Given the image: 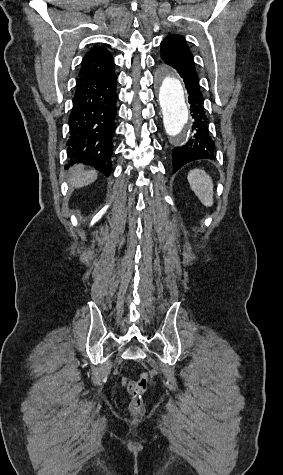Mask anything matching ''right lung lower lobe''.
I'll list each match as a JSON object with an SVG mask.
<instances>
[{
	"label": "right lung lower lobe",
	"instance_id": "obj_1",
	"mask_svg": "<svg viewBox=\"0 0 283 475\" xmlns=\"http://www.w3.org/2000/svg\"><path fill=\"white\" fill-rule=\"evenodd\" d=\"M116 84L114 67L106 72L78 76L66 144L71 165H90L109 176L117 111Z\"/></svg>",
	"mask_w": 283,
	"mask_h": 475
}]
</instances>
